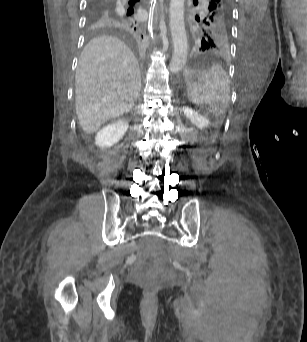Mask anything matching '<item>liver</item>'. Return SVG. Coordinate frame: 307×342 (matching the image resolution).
Listing matches in <instances>:
<instances>
[{
    "label": "liver",
    "instance_id": "liver-1",
    "mask_svg": "<svg viewBox=\"0 0 307 342\" xmlns=\"http://www.w3.org/2000/svg\"><path fill=\"white\" fill-rule=\"evenodd\" d=\"M140 90V68L124 42L113 36L88 42L75 76L76 114L86 134L131 110Z\"/></svg>",
    "mask_w": 307,
    "mask_h": 342
}]
</instances>
